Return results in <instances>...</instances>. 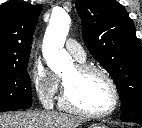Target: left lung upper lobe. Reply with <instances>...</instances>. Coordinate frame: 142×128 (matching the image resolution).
Returning <instances> with one entry per match:
<instances>
[{
  "instance_id": "obj_1",
  "label": "left lung upper lobe",
  "mask_w": 142,
  "mask_h": 128,
  "mask_svg": "<svg viewBox=\"0 0 142 128\" xmlns=\"http://www.w3.org/2000/svg\"><path fill=\"white\" fill-rule=\"evenodd\" d=\"M76 10L87 48L117 85L121 120L142 122V54L132 19L115 0H78Z\"/></svg>"
}]
</instances>
